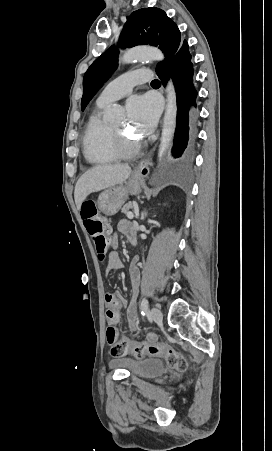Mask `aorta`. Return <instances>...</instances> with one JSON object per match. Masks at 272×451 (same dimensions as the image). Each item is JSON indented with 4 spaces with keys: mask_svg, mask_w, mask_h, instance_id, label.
I'll use <instances>...</instances> for the list:
<instances>
[{
    "mask_svg": "<svg viewBox=\"0 0 272 451\" xmlns=\"http://www.w3.org/2000/svg\"><path fill=\"white\" fill-rule=\"evenodd\" d=\"M143 62V60H164V54L161 50L157 48H145V46H140V48H132V50H127L124 52L119 60V64H135V62ZM166 110L163 120V128L159 146V158L162 160L165 156L173 138V134L176 128V116H177V98L175 88L173 86L172 80H169L166 86ZM114 112L111 114H105L104 120L106 122H116L121 118L122 114L119 110L117 104H112Z\"/></svg>",
    "mask_w": 272,
    "mask_h": 451,
    "instance_id": "obj_1",
    "label": "aorta"
}]
</instances>
